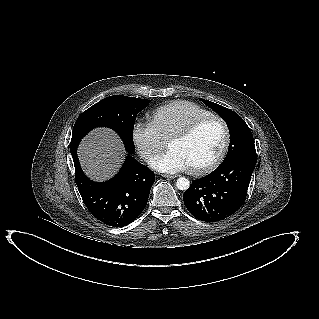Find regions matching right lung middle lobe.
<instances>
[{
  "mask_svg": "<svg viewBox=\"0 0 319 319\" xmlns=\"http://www.w3.org/2000/svg\"><path fill=\"white\" fill-rule=\"evenodd\" d=\"M149 105L144 99L114 95L107 97L84 111L76 120L70 146L95 127H109L122 138L127 152L134 153L133 128L137 114Z\"/></svg>",
  "mask_w": 319,
  "mask_h": 319,
  "instance_id": "1",
  "label": "right lung middle lobe"
}]
</instances>
